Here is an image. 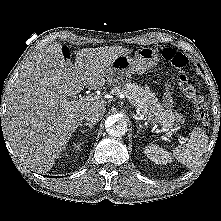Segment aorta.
<instances>
[{
    "label": "aorta",
    "instance_id": "aorta-1",
    "mask_svg": "<svg viewBox=\"0 0 221 221\" xmlns=\"http://www.w3.org/2000/svg\"><path fill=\"white\" fill-rule=\"evenodd\" d=\"M106 131L114 137L123 136L128 131V125L125 120L118 115H111L105 121Z\"/></svg>",
    "mask_w": 221,
    "mask_h": 221
}]
</instances>
